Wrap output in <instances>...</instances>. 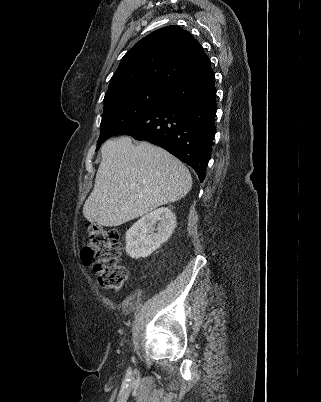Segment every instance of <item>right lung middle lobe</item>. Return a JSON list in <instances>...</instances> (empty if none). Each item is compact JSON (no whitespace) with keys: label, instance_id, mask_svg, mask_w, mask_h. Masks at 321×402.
<instances>
[{"label":"right lung middle lobe","instance_id":"right-lung-middle-lobe-1","mask_svg":"<svg viewBox=\"0 0 321 402\" xmlns=\"http://www.w3.org/2000/svg\"><path fill=\"white\" fill-rule=\"evenodd\" d=\"M168 89L167 85L152 83L117 91L105 97L97 149L105 140L140 119L165 100Z\"/></svg>","mask_w":321,"mask_h":402}]
</instances>
